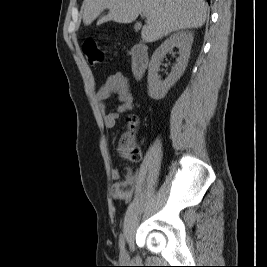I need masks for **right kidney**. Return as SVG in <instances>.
<instances>
[{"mask_svg":"<svg viewBox=\"0 0 267 267\" xmlns=\"http://www.w3.org/2000/svg\"><path fill=\"white\" fill-rule=\"evenodd\" d=\"M193 43V35L188 31H181L171 35L153 53L148 70V94L154 100L165 97L168 90L180 79L188 64L190 50ZM174 47L179 49L177 63L172 67L168 77L163 81L158 72L163 58Z\"/></svg>","mask_w":267,"mask_h":267,"instance_id":"obj_1","label":"right kidney"}]
</instances>
